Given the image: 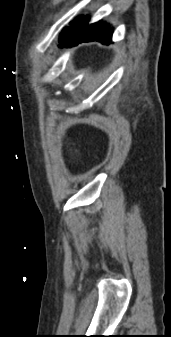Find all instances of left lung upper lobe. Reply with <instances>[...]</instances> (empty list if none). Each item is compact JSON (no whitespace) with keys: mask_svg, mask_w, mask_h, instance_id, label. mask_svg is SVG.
Listing matches in <instances>:
<instances>
[{"mask_svg":"<svg viewBox=\"0 0 171 337\" xmlns=\"http://www.w3.org/2000/svg\"><path fill=\"white\" fill-rule=\"evenodd\" d=\"M80 18H78L77 20H75L74 22L71 23V27L69 28H65L62 32L60 41L63 40L64 38H66L74 29V27L76 26L77 22L79 21Z\"/></svg>","mask_w":171,"mask_h":337,"instance_id":"1","label":"left lung upper lobe"}]
</instances>
